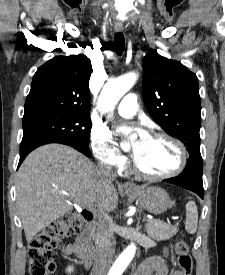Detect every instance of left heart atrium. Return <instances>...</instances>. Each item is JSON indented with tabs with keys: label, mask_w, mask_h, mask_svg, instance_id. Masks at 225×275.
<instances>
[{
	"label": "left heart atrium",
	"mask_w": 225,
	"mask_h": 275,
	"mask_svg": "<svg viewBox=\"0 0 225 275\" xmlns=\"http://www.w3.org/2000/svg\"><path fill=\"white\" fill-rule=\"evenodd\" d=\"M132 131H135L138 134L139 139L137 142H139V143L144 142L149 137L148 134L146 133V131H144L143 129H140V128L123 127L120 129V132L125 135L129 134ZM135 154H136V152L134 150V152H133L134 157H135Z\"/></svg>",
	"instance_id": "obj_1"
}]
</instances>
